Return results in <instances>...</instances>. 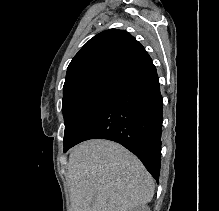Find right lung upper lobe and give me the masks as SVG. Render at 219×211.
<instances>
[{
  "instance_id": "1",
  "label": "right lung upper lobe",
  "mask_w": 219,
  "mask_h": 211,
  "mask_svg": "<svg viewBox=\"0 0 219 211\" xmlns=\"http://www.w3.org/2000/svg\"><path fill=\"white\" fill-rule=\"evenodd\" d=\"M152 63L144 47L128 32L110 29L91 38L68 66L63 99L100 84L117 85Z\"/></svg>"
}]
</instances>
